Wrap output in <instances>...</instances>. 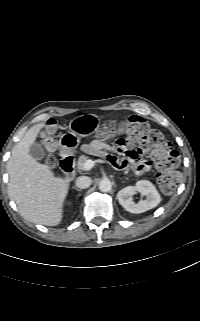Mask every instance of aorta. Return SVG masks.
I'll return each instance as SVG.
<instances>
[{"label":"aorta","instance_id":"aorta-1","mask_svg":"<svg viewBox=\"0 0 200 321\" xmlns=\"http://www.w3.org/2000/svg\"><path fill=\"white\" fill-rule=\"evenodd\" d=\"M112 188V183L109 179H102L99 183V189L101 192H109Z\"/></svg>","mask_w":200,"mask_h":321}]
</instances>
